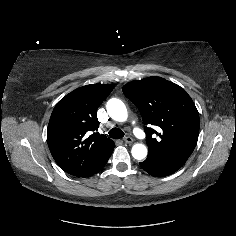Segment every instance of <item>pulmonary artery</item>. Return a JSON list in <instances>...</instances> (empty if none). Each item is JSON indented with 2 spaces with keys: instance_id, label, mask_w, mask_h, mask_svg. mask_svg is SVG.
Instances as JSON below:
<instances>
[{
  "instance_id": "pulmonary-artery-1",
  "label": "pulmonary artery",
  "mask_w": 236,
  "mask_h": 236,
  "mask_svg": "<svg viewBox=\"0 0 236 236\" xmlns=\"http://www.w3.org/2000/svg\"><path fill=\"white\" fill-rule=\"evenodd\" d=\"M137 131V135H138V137L140 138V139H145L146 137H145V134L143 133V132H141V131H139V130H136Z\"/></svg>"
}]
</instances>
